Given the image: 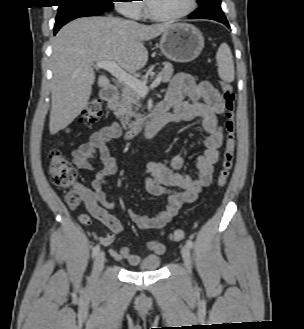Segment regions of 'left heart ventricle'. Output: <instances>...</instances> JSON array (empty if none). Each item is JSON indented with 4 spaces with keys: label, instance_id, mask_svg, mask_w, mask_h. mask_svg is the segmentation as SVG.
<instances>
[{
    "label": "left heart ventricle",
    "instance_id": "obj_1",
    "mask_svg": "<svg viewBox=\"0 0 304 329\" xmlns=\"http://www.w3.org/2000/svg\"><path fill=\"white\" fill-rule=\"evenodd\" d=\"M151 9L162 15L176 14L184 11L189 0H148Z\"/></svg>",
    "mask_w": 304,
    "mask_h": 329
}]
</instances>
